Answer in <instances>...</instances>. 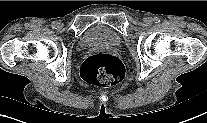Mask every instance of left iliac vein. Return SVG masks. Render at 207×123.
<instances>
[{
  "instance_id": "1",
  "label": "left iliac vein",
  "mask_w": 207,
  "mask_h": 123,
  "mask_svg": "<svg viewBox=\"0 0 207 123\" xmlns=\"http://www.w3.org/2000/svg\"><path fill=\"white\" fill-rule=\"evenodd\" d=\"M144 22L146 24H150L152 22V19H150V18H144Z\"/></svg>"
}]
</instances>
